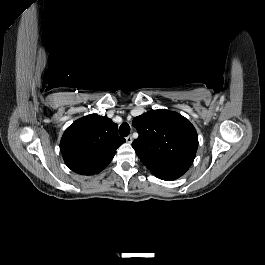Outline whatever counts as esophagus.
Returning a JSON list of instances; mask_svg holds the SVG:
<instances>
[{"label":"esophagus","instance_id":"obj_1","mask_svg":"<svg viewBox=\"0 0 265 265\" xmlns=\"http://www.w3.org/2000/svg\"><path fill=\"white\" fill-rule=\"evenodd\" d=\"M132 140H133V138H132L131 135H129V136L126 137V142L127 143H132Z\"/></svg>","mask_w":265,"mask_h":265}]
</instances>
